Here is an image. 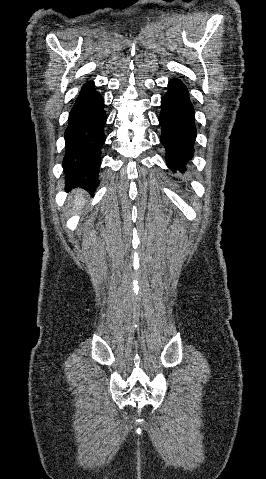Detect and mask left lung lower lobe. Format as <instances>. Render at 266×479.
<instances>
[{
  "label": "left lung lower lobe",
  "instance_id": "obj_1",
  "mask_svg": "<svg viewBox=\"0 0 266 479\" xmlns=\"http://www.w3.org/2000/svg\"><path fill=\"white\" fill-rule=\"evenodd\" d=\"M161 100L160 141L166 149V164L174 173L184 175L194 156L196 127L194 109L185 84L177 78L168 83Z\"/></svg>",
  "mask_w": 266,
  "mask_h": 479
}]
</instances>
